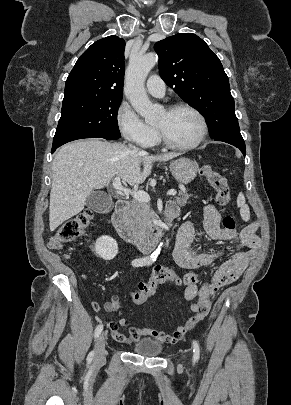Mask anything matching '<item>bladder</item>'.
Here are the masks:
<instances>
[{
  "label": "bladder",
  "mask_w": 291,
  "mask_h": 405,
  "mask_svg": "<svg viewBox=\"0 0 291 405\" xmlns=\"http://www.w3.org/2000/svg\"><path fill=\"white\" fill-rule=\"evenodd\" d=\"M133 351L143 356H157L162 352V344L151 338H143L133 345Z\"/></svg>",
  "instance_id": "1"
}]
</instances>
